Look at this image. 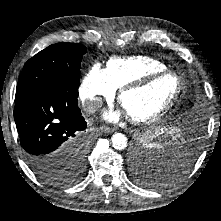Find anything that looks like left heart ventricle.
<instances>
[{
	"label": "left heart ventricle",
	"instance_id": "1",
	"mask_svg": "<svg viewBox=\"0 0 221 221\" xmlns=\"http://www.w3.org/2000/svg\"><path fill=\"white\" fill-rule=\"evenodd\" d=\"M177 82L173 76H163L149 85L126 93L121 101L124 113L144 118L161 110L173 97Z\"/></svg>",
	"mask_w": 221,
	"mask_h": 221
}]
</instances>
